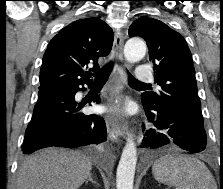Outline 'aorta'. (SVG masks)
Instances as JSON below:
<instances>
[{
	"label": "aorta",
	"instance_id": "obj_1",
	"mask_svg": "<svg viewBox=\"0 0 223 189\" xmlns=\"http://www.w3.org/2000/svg\"><path fill=\"white\" fill-rule=\"evenodd\" d=\"M146 43L140 38L129 39L124 47V57L128 63L140 61L146 54ZM137 148L133 136L128 134L116 173L117 189H133Z\"/></svg>",
	"mask_w": 223,
	"mask_h": 189
}]
</instances>
